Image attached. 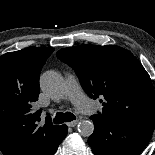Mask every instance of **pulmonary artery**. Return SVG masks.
<instances>
[{
    "label": "pulmonary artery",
    "mask_w": 155,
    "mask_h": 155,
    "mask_svg": "<svg viewBox=\"0 0 155 155\" xmlns=\"http://www.w3.org/2000/svg\"><path fill=\"white\" fill-rule=\"evenodd\" d=\"M67 95L75 107L83 114L92 115L95 112L94 103L84 94L77 79L68 75L66 79Z\"/></svg>",
    "instance_id": "pulmonary-artery-1"
}]
</instances>
